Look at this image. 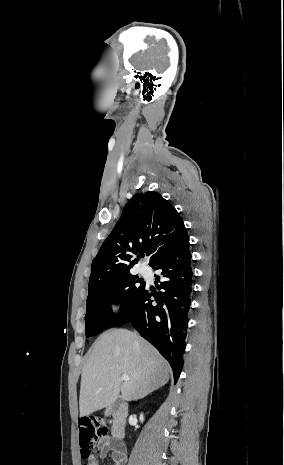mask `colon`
Returning <instances> with one entry per match:
<instances>
[{
  "instance_id": "colon-1",
  "label": "colon",
  "mask_w": 284,
  "mask_h": 465,
  "mask_svg": "<svg viewBox=\"0 0 284 465\" xmlns=\"http://www.w3.org/2000/svg\"><path fill=\"white\" fill-rule=\"evenodd\" d=\"M105 426H99L95 422L79 424L80 457L84 460L91 455L94 443L105 435Z\"/></svg>"
}]
</instances>
